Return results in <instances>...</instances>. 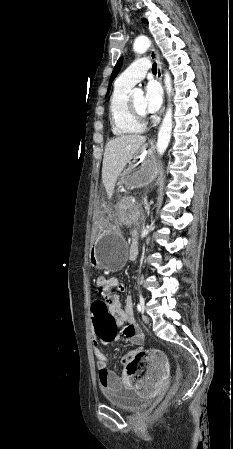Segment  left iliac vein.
I'll use <instances>...</instances> for the list:
<instances>
[{
    "instance_id": "obj_1",
    "label": "left iliac vein",
    "mask_w": 233,
    "mask_h": 449,
    "mask_svg": "<svg viewBox=\"0 0 233 449\" xmlns=\"http://www.w3.org/2000/svg\"><path fill=\"white\" fill-rule=\"evenodd\" d=\"M142 320H143V322L146 323V324H148V323L150 322L149 317H148L147 315H145V314H142Z\"/></svg>"
}]
</instances>
